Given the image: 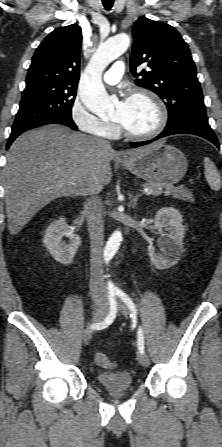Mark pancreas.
Here are the masks:
<instances>
[{"label":"pancreas","instance_id":"1","mask_svg":"<svg viewBox=\"0 0 222 447\" xmlns=\"http://www.w3.org/2000/svg\"><path fill=\"white\" fill-rule=\"evenodd\" d=\"M144 186L150 189L148 195L157 196L161 193H164L165 196L171 195L173 198L181 199L184 201H194L191 190H189L185 186L167 187L165 191H160L159 189H162V186L153 183H146L144 184Z\"/></svg>","mask_w":222,"mask_h":447}]
</instances>
